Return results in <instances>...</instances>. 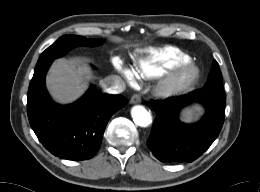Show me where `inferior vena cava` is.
Wrapping results in <instances>:
<instances>
[{
    "mask_svg": "<svg viewBox=\"0 0 260 192\" xmlns=\"http://www.w3.org/2000/svg\"><path fill=\"white\" fill-rule=\"evenodd\" d=\"M102 89L109 94H119L126 88V84L114 75L107 76L101 81Z\"/></svg>",
    "mask_w": 260,
    "mask_h": 192,
    "instance_id": "inferior-vena-cava-1",
    "label": "inferior vena cava"
}]
</instances>
